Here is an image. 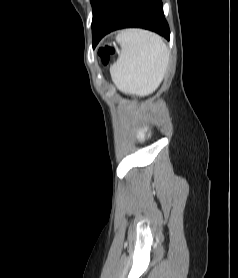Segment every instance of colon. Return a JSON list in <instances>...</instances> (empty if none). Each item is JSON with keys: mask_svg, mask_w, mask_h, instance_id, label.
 I'll return each mask as SVG.
<instances>
[{"mask_svg": "<svg viewBox=\"0 0 238 278\" xmlns=\"http://www.w3.org/2000/svg\"><path fill=\"white\" fill-rule=\"evenodd\" d=\"M113 51V49L111 47H107L105 49H101L99 54H100V57L102 58V60L104 62L108 61L109 59V54Z\"/></svg>", "mask_w": 238, "mask_h": 278, "instance_id": "1", "label": "colon"}]
</instances>
